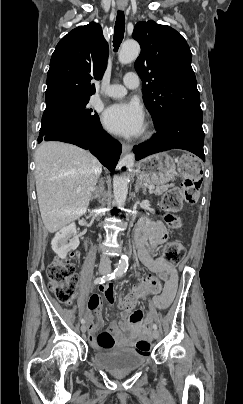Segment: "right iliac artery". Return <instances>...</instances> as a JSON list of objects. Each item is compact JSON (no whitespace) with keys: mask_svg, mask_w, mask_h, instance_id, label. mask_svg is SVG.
<instances>
[{"mask_svg":"<svg viewBox=\"0 0 243 404\" xmlns=\"http://www.w3.org/2000/svg\"><path fill=\"white\" fill-rule=\"evenodd\" d=\"M117 274H118L117 272H113L111 274L96 278L95 281H94V284H102V283H105V282L110 281L112 279H115L117 277ZM81 323L84 324L85 320L81 319Z\"/></svg>","mask_w":243,"mask_h":404,"instance_id":"1","label":"right iliac artery"}]
</instances>
